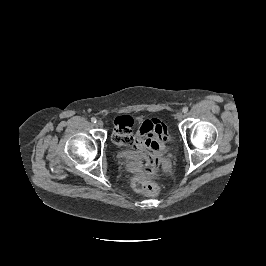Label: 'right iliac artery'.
Listing matches in <instances>:
<instances>
[{
	"instance_id": "82829eb1",
	"label": "right iliac artery",
	"mask_w": 266,
	"mask_h": 266,
	"mask_svg": "<svg viewBox=\"0 0 266 266\" xmlns=\"http://www.w3.org/2000/svg\"><path fill=\"white\" fill-rule=\"evenodd\" d=\"M91 121L93 122V123H96L97 122V119L96 118H91Z\"/></svg>"
}]
</instances>
